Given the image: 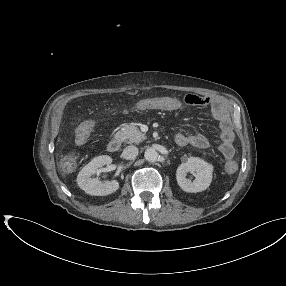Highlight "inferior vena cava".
<instances>
[{
  "instance_id": "inferior-vena-cava-1",
  "label": "inferior vena cava",
  "mask_w": 286,
  "mask_h": 286,
  "mask_svg": "<svg viewBox=\"0 0 286 286\" xmlns=\"http://www.w3.org/2000/svg\"><path fill=\"white\" fill-rule=\"evenodd\" d=\"M138 155V148L136 146L130 145L124 148L122 152V157L126 160L134 159Z\"/></svg>"
}]
</instances>
